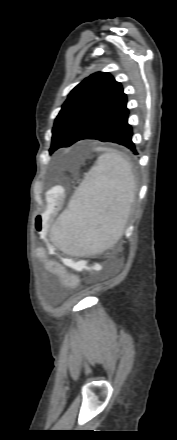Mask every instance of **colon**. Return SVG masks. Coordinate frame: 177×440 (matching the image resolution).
Masks as SVG:
<instances>
[{
  "mask_svg": "<svg viewBox=\"0 0 177 440\" xmlns=\"http://www.w3.org/2000/svg\"><path fill=\"white\" fill-rule=\"evenodd\" d=\"M62 199H63V193L59 189H53L47 193L46 209L42 213H39L35 219L37 230L42 229L44 224L47 227V222L50 219L51 215L60 208ZM68 275H72V274L68 273Z\"/></svg>",
  "mask_w": 177,
  "mask_h": 440,
  "instance_id": "1",
  "label": "colon"
}]
</instances>
